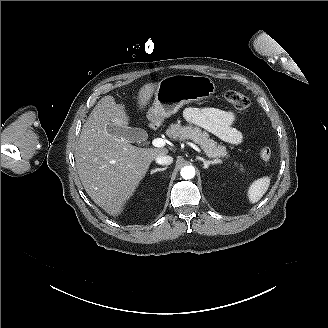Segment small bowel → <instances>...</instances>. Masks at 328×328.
Instances as JSON below:
<instances>
[{
	"instance_id": "obj_1",
	"label": "small bowel",
	"mask_w": 328,
	"mask_h": 328,
	"mask_svg": "<svg viewBox=\"0 0 328 328\" xmlns=\"http://www.w3.org/2000/svg\"><path fill=\"white\" fill-rule=\"evenodd\" d=\"M185 119L192 125L203 128L219 139L240 144L243 141L242 132L235 128L236 113L215 107H189L184 111Z\"/></svg>"
}]
</instances>
